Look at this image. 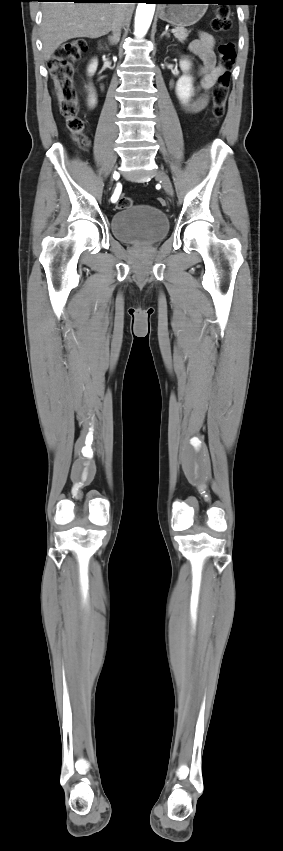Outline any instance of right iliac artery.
I'll return each instance as SVG.
<instances>
[{"mask_svg":"<svg viewBox=\"0 0 283 851\" xmlns=\"http://www.w3.org/2000/svg\"><path fill=\"white\" fill-rule=\"evenodd\" d=\"M117 185H118V188L116 189L115 193L113 194V196L111 198L112 202H115L118 199V196L120 195V192L123 189V186L121 185V183L119 181L117 182Z\"/></svg>","mask_w":283,"mask_h":851,"instance_id":"obj_1","label":"right iliac artery"}]
</instances>
